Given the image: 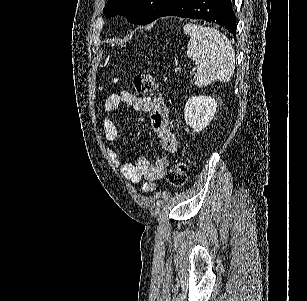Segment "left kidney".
Wrapping results in <instances>:
<instances>
[{
    "label": "left kidney",
    "mask_w": 307,
    "mask_h": 301,
    "mask_svg": "<svg viewBox=\"0 0 307 301\" xmlns=\"http://www.w3.org/2000/svg\"><path fill=\"white\" fill-rule=\"evenodd\" d=\"M217 108V100L212 96H191L184 106V118L186 124L193 128L194 132H200L211 122Z\"/></svg>",
    "instance_id": "1"
}]
</instances>
